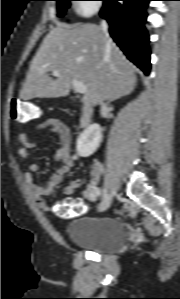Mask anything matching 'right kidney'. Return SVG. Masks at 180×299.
Here are the masks:
<instances>
[{
	"instance_id": "ca27d5eb",
	"label": "right kidney",
	"mask_w": 180,
	"mask_h": 299,
	"mask_svg": "<svg viewBox=\"0 0 180 299\" xmlns=\"http://www.w3.org/2000/svg\"><path fill=\"white\" fill-rule=\"evenodd\" d=\"M102 141L101 128L98 124L88 126L78 137L76 149L81 157H89Z\"/></svg>"
}]
</instances>
